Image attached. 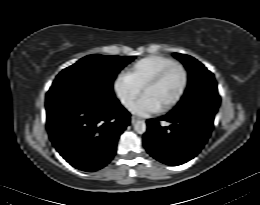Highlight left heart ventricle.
Instances as JSON below:
<instances>
[{
  "mask_svg": "<svg viewBox=\"0 0 260 205\" xmlns=\"http://www.w3.org/2000/svg\"><path fill=\"white\" fill-rule=\"evenodd\" d=\"M182 84L183 74L180 70L175 69L149 89L145 95L163 107L178 94Z\"/></svg>",
  "mask_w": 260,
  "mask_h": 205,
  "instance_id": "1",
  "label": "left heart ventricle"
}]
</instances>
